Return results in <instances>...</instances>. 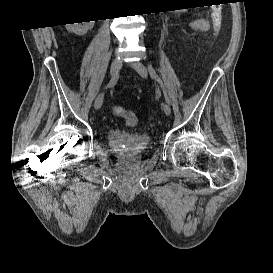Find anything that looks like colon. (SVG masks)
<instances>
[{"instance_id": "obj_1", "label": "colon", "mask_w": 273, "mask_h": 273, "mask_svg": "<svg viewBox=\"0 0 273 273\" xmlns=\"http://www.w3.org/2000/svg\"><path fill=\"white\" fill-rule=\"evenodd\" d=\"M222 25L219 19L218 15H214V31L215 34H219L221 31ZM114 113L123 118V120L125 121V124L127 126L133 127L136 126L138 123V119L136 117L135 114H133L132 112H129L127 110H125L123 107L121 106H116L114 108Z\"/></svg>"}]
</instances>
